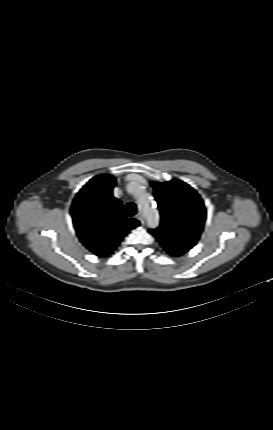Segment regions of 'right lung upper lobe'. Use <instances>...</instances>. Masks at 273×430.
Segmentation results:
<instances>
[{"label": "right lung upper lobe", "instance_id": "1", "mask_svg": "<svg viewBox=\"0 0 273 430\" xmlns=\"http://www.w3.org/2000/svg\"><path fill=\"white\" fill-rule=\"evenodd\" d=\"M115 182L108 174L93 177L76 194L71 206L79 240L99 257L110 255L121 239L140 224L123 215L122 203L112 195Z\"/></svg>", "mask_w": 273, "mask_h": 430}]
</instances>
